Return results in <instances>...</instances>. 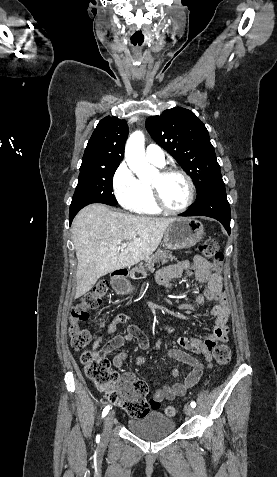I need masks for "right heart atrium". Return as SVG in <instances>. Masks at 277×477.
Segmentation results:
<instances>
[{
  "label": "right heart atrium",
  "instance_id": "right-heart-atrium-1",
  "mask_svg": "<svg viewBox=\"0 0 277 477\" xmlns=\"http://www.w3.org/2000/svg\"><path fill=\"white\" fill-rule=\"evenodd\" d=\"M115 197L124 208L130 209L139 197V180L127 163L122 162L112 178Z\"/></svg>",
  "mask_w": 277,
  "mask_h": 477
}]
</instances>
